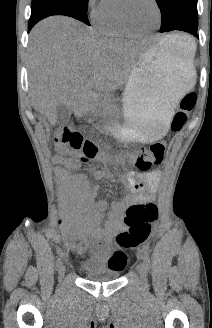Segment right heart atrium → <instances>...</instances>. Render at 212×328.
<instances>
[{
	"instance_id": "d8ad5b80",
	"label": "right heart atrium",
	"mask_w": 212,
	"mask_h": 328,
	"mask_svg": "<svg viewBox=\"0 0 212 328\" xmlns=\"http://www.w3.org/2000/svg\"><path fill=\"white\" fill-rule=\"evenodd\" d=\"M109 0H88V10L91 20L95 21L103 13L105 6L108 4Z\"/></svg>"
}]
</instances>
